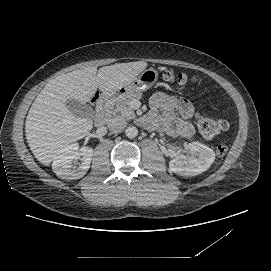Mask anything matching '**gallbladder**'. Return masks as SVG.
<instances>
[{
	"mask_svg": "<svg viewBox=\"0 0 271 271\" xmlns=\"http://www.w3.org/2000/svg\"><path fill=\"white\" fill-rule=\"evenodd\" d=\"M68 109L76 116L93 118L95 112L88 104H81L77 100H68L66 102Z\"/></svg>",
	"mask_w": 271,
	"mask_h": 271,
	"instance_id": "obj_1",
	"label": "gallbladder"
}]
</instances>
